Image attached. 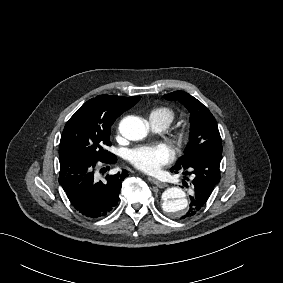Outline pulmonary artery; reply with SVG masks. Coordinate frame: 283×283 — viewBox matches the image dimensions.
Wrapping results in <instances>:
<instances>
[{"label":"pulmonary artery","instance_id":"1","mask_svg":"<svg viewBox=\"0 0 283 283\" xmlns=\"http://www.w3.org/2000/svg\"><path fill=\"white\" fill-rule=\"evenodd\" d=\"M149 121H150V125H151L152 129L155 130V131H161V130L166 128V124H164V123L157 122L153 119H150Z\"/></svg>","mask_w":283,"mask_h":283}]
</instances>
